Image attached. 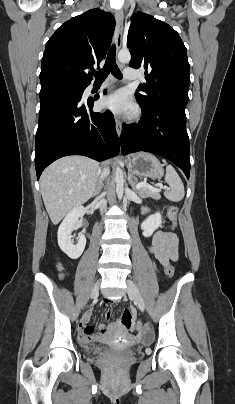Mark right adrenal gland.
I'll return each mask as SVG.
<instances>
[{
    "label": "right adrenal gland",
    "instance_id": "1",
    "mask_svg": "<svg viewBox=\"0 0 235 404\" xmlns=\"http://www.w3.org/2000/svg\"><path fill=\"white\" fill-rule=\"evenodd\" d=\"M101 188H102V180L100 178L99 181H98L97 187H96V189H95V191L93 193V196L98 195L99 192L101 191Z\"/></svg>",
    "mask_w": 235,
    "mask_h": 404
}]
</instances>
